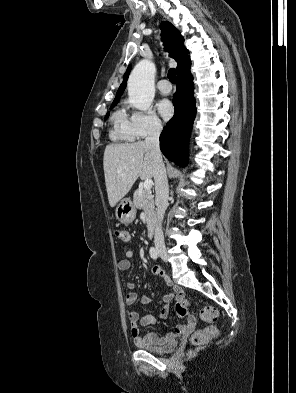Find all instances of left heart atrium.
I'll list each match as a JSON object with an SVG mask.
<instances>
[{
    "mask_svg": "<svg viewBox=\"0 0 296 393\" xmlns=\"http://www.w3.org/2000/svg\"><path fill=\"white\" fill-rule=\"evenodd\" d=\"M157 109L165 120L170 119L174 114L173 104L167 99L159 101L157 104Z\"/></svg>",
    "mask_w": 296,
    "mask_h": 393,
    "instance_id": "39dd6f15",
    "label": "left heart atrium"
}]
</instances>
